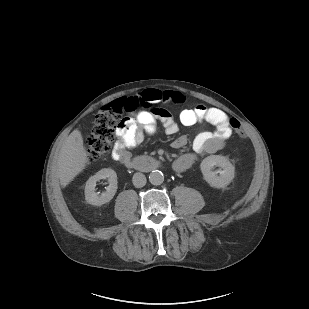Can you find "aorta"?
<instances>
[{
  "label": "aorta",
  "instance_id": "aorta-1",
  "mask_svg": "<svg viewBox=\"0 0 309 309\" xmlns=\"http://www.w3.org/2000/svg\"><path fill=\"white\" fill-rule=\"evenodd\" d=\"M149 181L152 185H161L164 181V175L161 171H152L149 175Z\"/></svg>",
  "mask_w": 309,
  "mask_h": 309
}]
</instances>
